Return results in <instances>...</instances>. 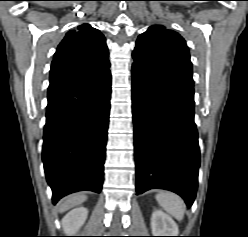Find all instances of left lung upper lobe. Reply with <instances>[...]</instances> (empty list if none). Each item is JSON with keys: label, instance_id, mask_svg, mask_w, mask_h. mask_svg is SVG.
<instances>
[{"label": "left lung upper lobe", "instance_id": "1", "mask_svg": "<svg viewBox=\"0 0 248 237\" xmlns=\"http://www.w3.org/2000/svg\"><path fill=\"white\" fill-rule=\"evenodd\" d=\"M132 56L134 64L168 82L194 85L189 49L175 31L162 25L149 27L138 37Z\"/></svg>", "mask_w": 248, "mask_h": 237}]
</instances>
